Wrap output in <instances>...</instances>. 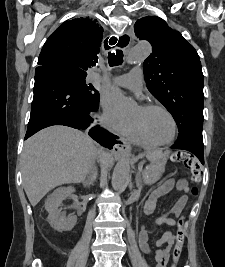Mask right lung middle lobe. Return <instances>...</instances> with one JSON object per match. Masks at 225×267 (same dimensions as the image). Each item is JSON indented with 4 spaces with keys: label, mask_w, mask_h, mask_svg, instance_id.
<instances>
[{
    "label": "right lung middle lobe",
    "mask_w": 225,
    "mask_h": 267,
    "mask_svg": "<svg viewBox=\"0 0 225 267\" xmlns=\"http://www.w3.org/2000/svg\"><path fill=\"white\" fill-rule=\"evenodd\" d=\"M67 74L80 92L83 99L93 108V111H96L99 104L98 91L91 84H86V76L70 73Z\"/></svg>",
    "instance_id": "right-lung-middle-lobe-1"
}]
</instances>
